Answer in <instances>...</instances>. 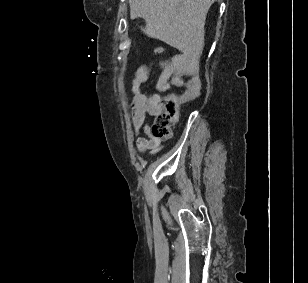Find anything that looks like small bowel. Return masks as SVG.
<instances>
[{"mask_svg": "<svg viewBox=\"0 0 308 283\" xmlns=\"http://www.w3.org/2000/svg\"><path fill=\"white\" fill-rule=\"evenodd\" d=\"M193 63L194 59L186 54L175 55L169 61L161 63L156 90L162 93L173 88L186 87L188 85L186 78L191 76ZM148 79L149 71L146 67H139L134 73L131 79L133 97L130 109L134 132L144 134L137 137L136 150L140 153L148 151L150 155H155L163 149L162 141L151 135L146 117L158 114L161 97L159 94L147 95L142 92V85Z\"/></svg>", "mask_w": 308, "mask_h": 283, "instance_id": "obj_1", "label": "small bowel"}]
</instances>
